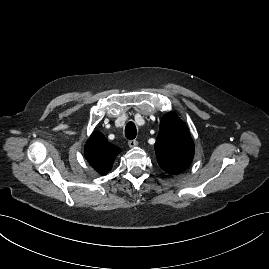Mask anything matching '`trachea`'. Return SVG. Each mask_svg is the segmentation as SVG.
<instances>
[{"mask_svg": "<svg viewBox=\"0 0 269 269\" xmlns=\"http://www.w3.org/2000/svg\"><path fill=\"white\" fill-rule=\"evenodd\" d=\"M136 134L137 130L135 124L133 122H129L125 127V137L132 140L136 137Z\"/></svg>", "mask_w": 269, "mask_h": 269, "instance_id": "1", "label": "trachea"}]
</instances>
